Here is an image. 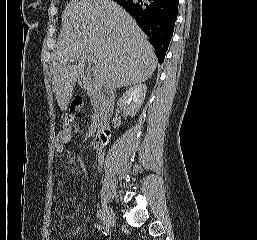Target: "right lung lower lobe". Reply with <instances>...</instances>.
<instances>
[{"mask_svg": "<svg viewBox=\"0 0 257 240\" xmlns=\"http://www.w3.org/2000/svg\"><path fill=\"white\" fill-rule=\"evenodd\" d=\"M138 22L150 39L160 63L163 62L174 24L179 0H114Z\"/></svg>", "mask_w": 257, "mask_h": 240, "instance_id": "obj_1", "label": "right lung lower lobe"}]
</instances>
